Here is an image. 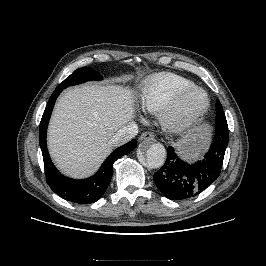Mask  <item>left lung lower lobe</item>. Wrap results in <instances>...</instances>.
Segmentation results:
<instances>
[{
	"label": "left lung lower lobe",
	"mask_w": 266,
	"mask_h": 266,
	"mask_svg": "<svg viewBox=\"0 0 266 266\" xmlns=\"http://www.w3.org/2000/svg\"><path fill=\"white\" fill-rule=\"evenodd\" d=\"M228 138V130L216 135L204 158L192 164L181 160L169 146L165 164L153 176L161 193L171 200H184L204 191L220 175Z\"/></svg>",
	"instance_id": "obj_1"
}]
</instances>
